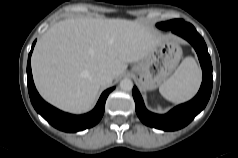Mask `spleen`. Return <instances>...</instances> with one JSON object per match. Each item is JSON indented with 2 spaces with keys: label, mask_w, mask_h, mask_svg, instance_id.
<instances>
[{
  "label": "spleen",
  "mask_w": 238,
  "mask_h": 158,
  "mask_svg": "<svg viewBox=\"0 0 238 158\" xmlns=\"http://www.w3.org/2000/svg\"><path fill=\"white\" fill-rule=\"evenodd\" d=\"M201 82V71L192 57H186L174 74L159 87L160 94L174 103H182L191 99L197 92Z\"/></svg>",
  "instance_id": "1"
}]
</instances>
